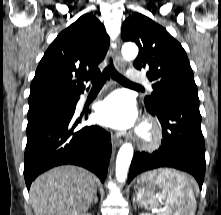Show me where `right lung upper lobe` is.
Instances as JSON below:
<instances>
[{"mask_svg":"<svg viewBox=\"0 0 221 215\" xmlns=\"http://www.w3.org/2000/svg\"><path fill=\"white\" fill-rule=\"evenodd\" d=\"M104 25L92 14L63 30L39 62L31 82L29 109L76 100L84 81L100 74L109 47Z\"/></svg>","mask_w":221,"mask_h":215,"instance_id":"cb5924a9","label":"right lung upper lobe"}]
</instances>
